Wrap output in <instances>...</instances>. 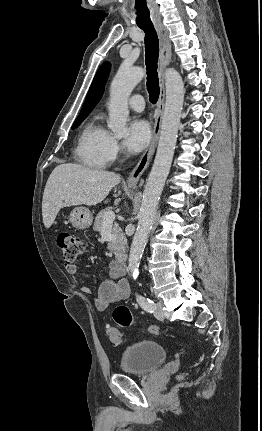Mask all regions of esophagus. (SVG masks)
Returning <instances> with one entry per match:
<instances>
[{"label":"esophagus","instance_id":"esophagus-1","mask_svg":"<svg viewBox=\"0 0 262 431\" xmlns=\"http://www.w3.org/2000/svg\"><path fill=\"white\" fill-rule=\"evenodd\" d=\"M160 39V94L157 102V107L154 113V127L152 132V138L149 146L142 154L137 165L134 167L132 172L127 178L128 186H136L140 177L148 167L150 160L155 152L157 142L160 135V129L164 111V100H165V87H164V71L171 62V45L169 42L168 30L163 24L155 26Z\"/></svg>","mask_w":262,"mask_h":431}]
</instances>
